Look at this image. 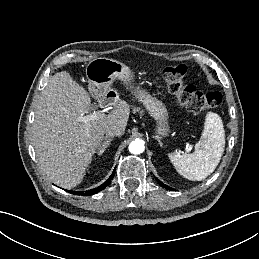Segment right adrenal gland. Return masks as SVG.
<instances>
[{"label": "right adrenal gland", "instance_id": "obj_1", "mask_svg": "<svg viewBox=\"0 0 259 259\" xmlns=\"http://www.w3.org/2000/svg\"><path fill=\"white\" fill-rule=\"evenodd\" d=\"M112 139H113V137H108L105 139V141L98 148V152H97L98 155H102L105 152V150L109 147Z\"/></svg>", "mask_w": 259, "mask_h": 259}]
</instances>
